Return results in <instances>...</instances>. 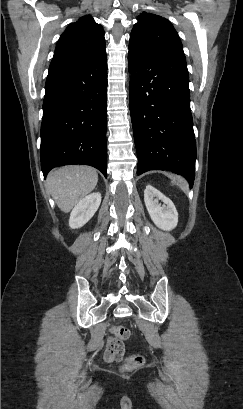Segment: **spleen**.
Returning <instances> with one entry per match:
<instances>
[{
  "mask_svg": "<svg viewBox=\"0 0 243 409\" xmlns=\"http://www.w3.org/2000/svg\"><path fill=\"white\" fill-rule=\"evenodd\" d=\"M180 187H181L182 189H184V184H183V183H181V184H180Z\"/></svg>",
  "mask_w": 243,
  "mask_h": 409,
  "instance_id": "spleen-1",
  "label": "spleen"
}]
</instances>
